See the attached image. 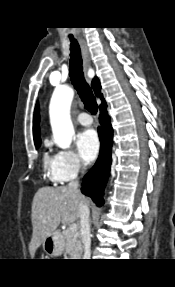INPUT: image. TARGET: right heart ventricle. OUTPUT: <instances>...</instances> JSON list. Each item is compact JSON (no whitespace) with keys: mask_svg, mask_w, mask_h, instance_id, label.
<instances>
[{"mask_svg":"<svg viewBox=\"0 0 175 287\" xmlns=\"http://www.w3.org/2000/svg\"><path fill=\"white\" fill-rule=\"evenodd\" d=\"M43 167L45 172L54 181L55 179V169H56V161L55 156L52 157L48 152H46L43 156Z\"/></svg>","mask_w":175,"mask_h":287,"instance_id":"right-heart-ventricle-1","label":"right heart ventricle"}]
</instances>
